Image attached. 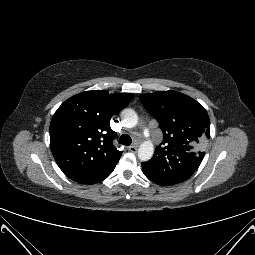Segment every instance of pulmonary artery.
I'll return each instance as SVG.
<instances>
[{
	"label": "pulmonary artery",
	"instance_id": "obj_1",
	"mask_svg": "<svg viewBox=\"0 0 255 255\" xmlns=\"http://www.w3.org/2000/svg\"><path fill=\"white\" fill-rule=\"evenodd\" d=\"M144 134H145L146 136H148L149 132H148V129H147V128L144 129Z\"/></svg>",
	"mask_w": 255,
	"mask_h": 255
}]
</instances>
